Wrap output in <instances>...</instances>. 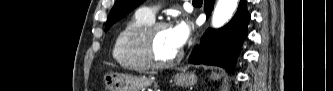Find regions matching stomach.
Returning <instances> with one entry per match:
<instances>
[{
	"label": "stomach",
	"mask_w": 333,
	"mask_h": 91,
	"mask_svg": "<svg viewBox=\"0 0 333 91\" xmlns=\"http://www.w3.org/2000/svg\"><path fill=\"white\" fill-rule=\"evenodd\" d=\"M178 86L188 87L197 82V77L191 73L177 74L174 78ZM106 91H146L153 79L145 76L108 72L103 77Z\"/></svg>",
	"instance_id": "obj_1"
}]
</instances>
